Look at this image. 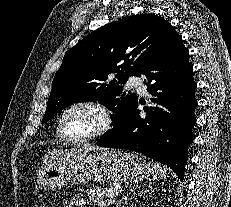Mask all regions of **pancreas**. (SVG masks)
<instances>
[{"mask_svg":"<svg viewBox=\"0 0 231 207\" xmlns=\"http://www.w3.org/2000/svg\"><path fill=\"white\" fill-rule=\"evenodd\" d=\"M88 198L100 207H107L113 204L118 196L117 189L108 188H91L87 194Z\"/></svg>","mask_w":231,"mask_h":207,"instance_id":"cf45deb5","label":"pancreas"}]
</instances>
